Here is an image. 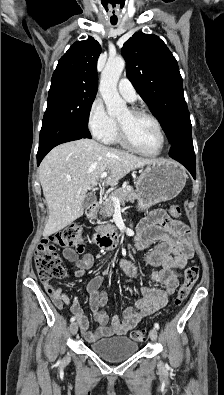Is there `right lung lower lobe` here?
Listing matches in <instances>:
<instances>
[{"label": "right lung lower lobe", "mask_w": 224, "mask_h": 395, "mask_svg": "<svg viewBox=\"0 0 224 395\" xmlns=\"http://www.w3.org/2000/svg\"><path fill=\"white\" fill-rule=\"evenodd\" d=\"M81 138H91L84 125L56 114H45L40 131L37 164H40L44 156L53 147Z\"/></svg>", "instance_id": "right-lung-lower-lobe-1"}]
</instances>
